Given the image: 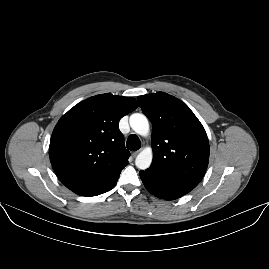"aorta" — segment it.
I'll return each mask as SVG.
<instances>
[{
  "label": "aorta",
  "instance_id": "1",
  "mask_svg": "<svg viewBox=\"0 0 269 269\" xmlns=\"http://www.w3.org/2000/svg\"><path fill=\"white\" fill-rule=\"evenodd\" d=\"M129 123L131 128L141 136H147L149 134V122L145 115L140 113H134L130 116ZM152 150L145 148L142 150L135 159L137 168L145 170L150 167L152 163Z\"/></svg>",
  "mask_w": 269,
  "mask_h": 269
}]
</instances>
